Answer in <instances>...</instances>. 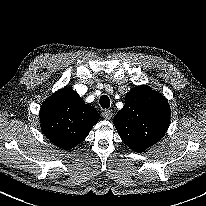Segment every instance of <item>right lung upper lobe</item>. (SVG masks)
Wrapping results in <instances>:
<instances>
[{
    "label": "right lung upper lobe",
    "instance_id": "right-lung-upper-lobe-1",
    "mask_svg": "<svg viewBox=\"0 0 206 206\" xmlns=\"http://www.w3.org/2000/svg\"><path fill=\"white\" fill-rule=\"evenodd\" d=\"M41 129L58 147L71 149L80 144L98 122L99 113L70 87L58 90L41 107Z\"/></svg>",
    "mask_w": 206,
    "mask_h": 206
}]
</instances>
